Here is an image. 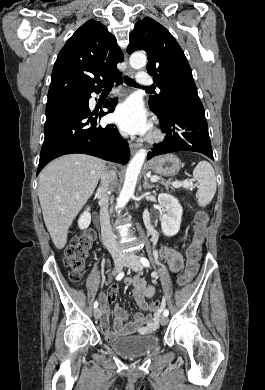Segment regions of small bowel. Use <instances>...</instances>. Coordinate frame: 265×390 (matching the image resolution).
I'll return each instance as SVG.
<instances>
[{"mask_svg":"<svg viewBox=\"0 0 265 390\" xmlns=\"http://www.w3.org/2000/svg\"><path fill=\"white\" fill-rule=\"evenodd\" d=\"M188 235L184 236L186 239ZM162 259L166 260L170 271L176 273L181 270L183 266V258L181 253L175 247H162L159 251ZM134 287V297L141 308L145 312H151L150 305L146 298H151L155 294V288L146 283L144 279L135 276L126 281ZM117 296V286H112L109 291L100 294V301L102 303V319L100 322L101 330L107 340H111L119 335L128 333L147 334L158 328V316L142 313H135L132 320L127 322L130 315L127 311L119 306L114 307V329L111 330L109 326V308L114 305Z\"/></svg>","mask_w":265,"mask_h":390,"instance_id":"c3829d8e","label":"small bowel"}]
</instances>
